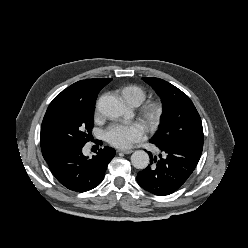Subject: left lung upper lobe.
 Returning a JSON list of instances; mask_svg holds the SVG:
<instances>
[{"label": "left lung upper lobe", "mask_w": 248, "mask_h": 248, "mask_svg": "<svg viewBox=\"0 0 248 248\" xmlns=\"http://www.w3.org/2000/svg\"><path fill=\"white\" fill-rule=\"evenodd\" d=\"M142 79L160 96L163 107L159 129L151 142L189 143L203 147L202 122L190 98L165 80Z\"/></svg>", "instance_id": "left-lung-upper-lobe-1"}]
</instances>
